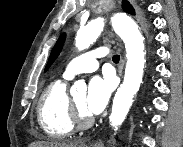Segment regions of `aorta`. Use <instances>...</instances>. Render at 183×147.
<instances>
[{
    "label": "aorta",
    "mask_w": 183,
    "mask_h": 147,
    "mask_svg": "<svg viewBox=\"0 0 183 147\" xmlns=\"http://www.w3.org/2000/svg\"><path fill=\"white\" fill-rule=\"evenodd\" d=\"M114 31L125 43L127 64L123 83L118 88L109 117L110 125L117 130L125 120L132 105V98L138 92L142 83L145 53L143 36L135 21L123 13H115L108 18ZM106 18L98 17L87 25L80 27L76 35V47L78 50L87 49L100 36ZM86 84L78 80L72 86L70 92L75 94L78 90H85Z\"/></svg>",
    "instance_id": "obj_1"
}]
</instances>
